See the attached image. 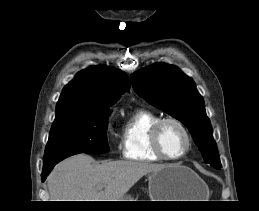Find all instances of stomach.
<instances>
[{
    "label": "stomach",
    "instance_id": "0dacf381",
    "mask_svg": "<svg viewBox=\"0 0 259 211\" xmlns=\"http://www.w3.org/2000/svg\"><path fill=\"white\" fill-rule=\"evenodd\" d=\"M151 201H201L207 193L205 182L190 168L165 165L148 177ZM126 195L121 201H132Z\"/></svg>",
    "mask_w": 259,
    "mask_h": 211
}]
</instances>
